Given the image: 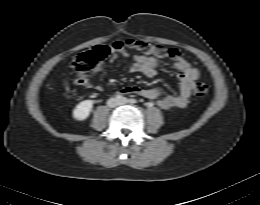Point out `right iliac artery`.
<instances>
[{
  "label": "right iliac artery",
  "mask_w": 260,
  "mask_h": 205,
  "mask_svg": "<svg viewBox=\"0 0 260 205\" xmlns=\"http://www.w3.org/2000/svg\"><path fill=\"white\" fill-rule=\"evenodd\" d=\"M116 99L121 100L123 97L121 95H116Z\"/></svg>",
  "instance_id": "right-iliac-artery-1"
}]
</instances>
